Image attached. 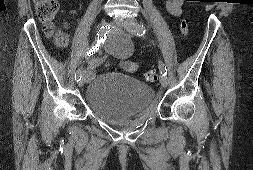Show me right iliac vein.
Returning <instances> with one entry per match:
<instances>
[{
    "label": "right iliac vein",
    "instance_id": "obj_1",
    "mask_svg": "<svg viewBox=\"0 0 253 170\" xmlns=\"http://www.w3.org/2000/svg\"><path fill=\"white\" fill-rule=\"evenodd\" d=\"M107 24V19L104 18L102 19L100 25H106ZM91 74L88 70H85L82 76V79L80 81H78V86L82 87L86 82H88L90 80Z\"/></svg>",
    "mask_w": 253,
    "mask_h": 170
}]
</instances>
